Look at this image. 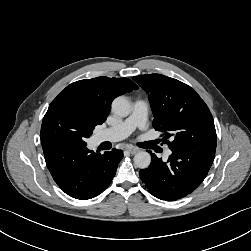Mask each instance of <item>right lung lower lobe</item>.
<instances>
[{"label":"right lung lower lobe","mask_w":251,"mask_h":251,"mask_svg":"<svg viewBox=\"0 0 251 251\" xmlns=\"http://www.w3.org/2000/svg\"><path fill=\"white\" fill-rule=\"evenodd\" d=\"M42 148L54 181L66 194L80 200L101 194L111 183L123 158L121 150L97 154L87 145L65 141L42 142Z\"/></svg>","instance_id":"obj_1"}]
</instances>
